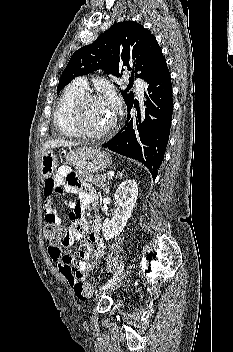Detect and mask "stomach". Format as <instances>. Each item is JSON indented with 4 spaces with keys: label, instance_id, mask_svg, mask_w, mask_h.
Here are the masks:
<instances>
[{
    "label": "stomach",
    "instance_id": "stomach-1",
    "mask_svg": "<svg viewBox=\"0 0 233 352\" xmlns=\"http://www.w3.org/2000/svg\"><path fill=\"white\" fill-rule=\"evenodd\" d=\"M66 161L78 169L88 172H101L112 164L110 155L97 147H82L71 150L66 156ZM58 159L52 150H47L41 156L40 175L48 178L56 171Z\"/></svg>",
    "mask_w": 233,
    "mask_h": 352
}]
</instances>
